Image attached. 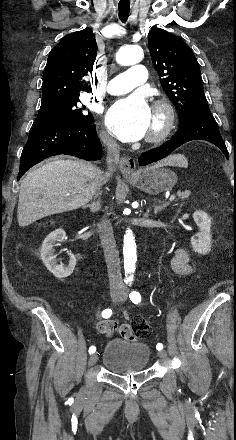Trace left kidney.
<instances>
[{
	"instance_id": "5707ae66",
	"label": "left kidney",
	"mask_w": 236,
	"mask_h": 440,
	"mask_svg": "<svg viewBox=\"0 0 236 440\" xmlns=\"http://www.w3.org/2000/svg\"><path fill=\"white\" fill-rule=\"evenodd\" d=\"M193 219L199 228V232L191 237V246L195 252L205 255L211 250V217L204 211L196 210Z\"/></svg>"
}]
</instances>
